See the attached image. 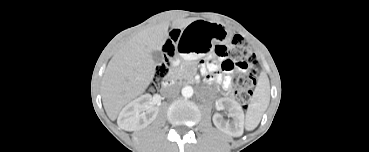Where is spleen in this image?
Instances as JSON below:
<instances>
[{
  "instance_id": "1",
  "label": "spleen",
  "mask_w": 369,
  "mask_h": 152,
  "mask_svg": "<svg viewBox=\"0 0 369 152\" xmlns=\"http://www.w3.org/2000/svg\"><path fill=\"white\" fill-rule=\"evenodd\" d=\"M268 81L263 79L261 88L256 92V98L252 101L248 111L247 129H254L260 122L262 113L267 109L268 105Z\"/></svg>"
}]
</instances>
